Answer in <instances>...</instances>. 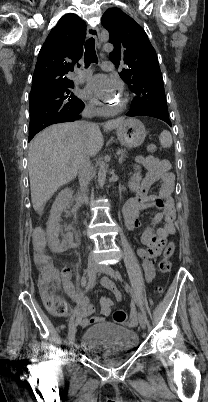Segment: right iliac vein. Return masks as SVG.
Returning <instances> with one entry per match:
<instances>
[{
    "mask_svg": "<svg viewBox=\"0 0 208 402\" xmlns=\"http://www.w3.org/2000/svg\"><path fill=\"white\" fill-rule=\"evenodd\" d=\"M87 273L89 280L93 278L96 273V262L94 259H89L87 263ZM76 326L77 324L74 323L68 333V340L71 345L75 342V334H76Z\"/></svg>",
    "mask_w": 208,
    "mask_h": 402,
    "instance_id": "obj_1",
    "label": "right iliac vein"
}]
</instances>
